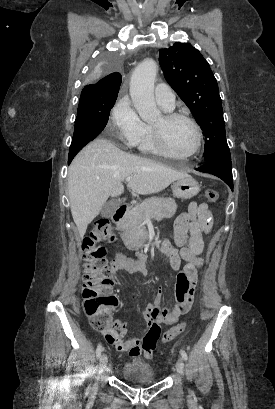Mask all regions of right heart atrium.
Segmentation results:
<instances>
[{"label":"right heart atrium","mask_w":275,"mask_h":409,"mask_svg":"<svg viewBox=\"0 0 275 409\" xmlns=\"http://www.w3.org/2000/svg\"><path fill=\"white\" fill-rule=\"evenodd\" d=\"M110 123L114 130L113 143H126V152H132L140 138L143 122L130 101L122 99L111 111Z\"/></svg>","instance_id":"obj_1"}]
</instances>
